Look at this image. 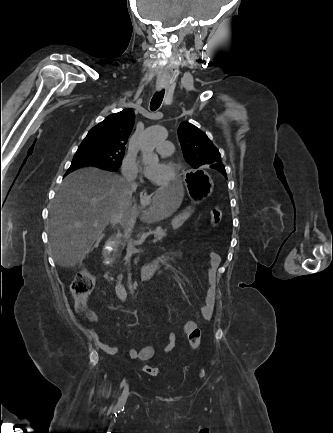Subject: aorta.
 I'll list each match as a JSON object with an SVG mask.
<instances>
[{"label":"aorta","instance_id":"obj_1","mask_svg":"<svg viewBox=\"0 0 333 433\" xmlns=\"http://www.w3.org/2000/svg\"><path fill=\"white\" fill-rule=\"evenodd\" d=\"M168 138V131L162 126H152L145 129L141 145L142 163L145 165H155L159 162L158 156L154 154L157 144L164 142ZM133 223L130 222L127 230V249L126 258H131L135 252V241L131 238Z\"/></svg>","mask_w":333,"mask_h":433}]
</instances>
